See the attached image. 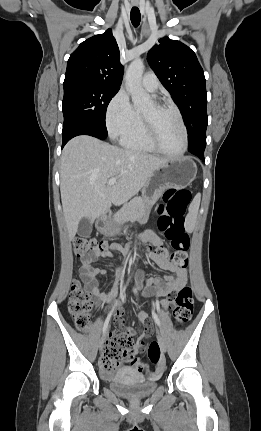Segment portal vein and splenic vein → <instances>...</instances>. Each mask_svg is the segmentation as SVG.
<instances>
[{"instance_id": "obj_1", "label": "portal vein and splenic vein", "mask_w": 261, "mask_h": 431, "mask_svg": "<svg viewBox=\"0 0 261 431\" xmlns=\"http://www.w3.org/2000/svg\"><path fill=\"white\" fill-rule=\"evenodd\" d=\"M116 181H117V178H115V177L110 178V179H109V181H108V184H109L110 186H112V185H114V184L116 183Z\"/></svg>"}]
</instances>
